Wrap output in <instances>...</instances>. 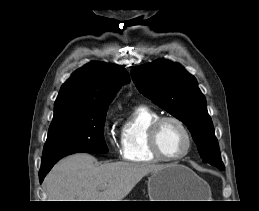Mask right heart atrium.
I'll return each mask as SVG.
<instances>
[{"label": "right heart atrium", "mask_w": 259, "mask_h": 211, "mask_svg": "<svg viewBox=\"0 0 259 211\" xmlns=\"http://www.w3.org/2000/svg\"><path fill=\"white\" fill-rule=\"evenodd\" d=\"M109 122H105V128L108 129ZM109 143L112 147H114L117 151L121 152V144L118 143V141L113 137L109 136Z\"/></svg>", "instance_id": "1"}]
</instances>
